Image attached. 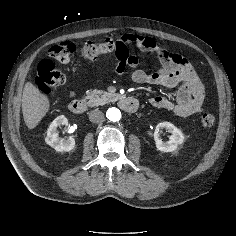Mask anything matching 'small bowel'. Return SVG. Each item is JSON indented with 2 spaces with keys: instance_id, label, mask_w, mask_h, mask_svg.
Masks as SVG:
<instances>
[{
  "instance_id": "1",
  "label": "small bowel",
  "mask_w": 236,
  "mask_h": 236,
  "mask_svg": "<svg viewBox=\"0 0 236 236\" xmlns=\"http://www.w3.org/2000/svg\"><path fill=\"white\" fill-rule=\"evenodd\" d=\"M117 42L124 49L123 54L116 55L118 58L117 74H123L128 66L133 69L131 79L135 83L178 88L173 100L161 95L152 97L150 99L152 106L171 110L181 117H189L201 112L204 102V87L186 58L161 48L154 39L146 36L124 34ZM130 45L157 55L161 68L152 72L139 69L138 58L129 53ZM69 95L74 97L75 93L70 92Z\"/></svg>"
}]
</instances>
